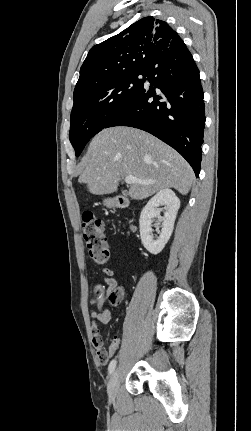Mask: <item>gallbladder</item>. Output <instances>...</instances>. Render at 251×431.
<instances>
[{"instance_id": "gallbladder-1", "label": "gallbladder", "mask_w": 251, "mask_h": 431, "mask_svg": "<svg viewBox=\"0 0 251 431\" xmlns=\"http://www.w3.org/2000/svg\"><path fill=\"white\" fill-rule=\"evenodd\" d=\"M122 194H126V192H125V191H122Z\"/></svg>"}]
</instances>
